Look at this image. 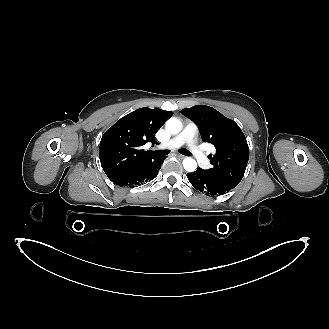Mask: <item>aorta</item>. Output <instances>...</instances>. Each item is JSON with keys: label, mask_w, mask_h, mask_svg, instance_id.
<instances>
[{"label": "aorta", "mask_w": 329, "mask_h": 329, "mask_svg": "<svg viewBox=\"0 0 329 329\" xmlns=\"http://www.w3.org/2000/svg\"><path fill=\"white\" fill-rule=\"evenodd\" d=\"M182 129V123L177 118H170L166 122V130L172 134H178ZM183 167L187 172H194L197 168L196 160L191 157H186L183 160Z\"/></svg>", "instance_id": "obj_1"}]
</instances>
